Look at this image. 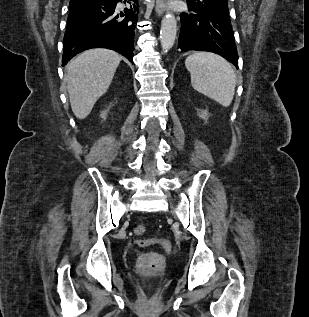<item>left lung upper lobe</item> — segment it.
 Segmentation results:
<instances>
[{
  "label": "left lung upper lobe",
  "instance_id": "5c2ea615",
  "mask_svg": "<svg viewBox=\"0 0 309 317\" xmlns=\"http://www.w3.org/2000/svg\"><path fill=\"white\" fill-rule=\"evenodd\" d=\"M227 2V0H187V4L192 7L229 13Z\"/></svg>",
  "mask_w": 309,
  "mask_h": 317
}]
</instances>
